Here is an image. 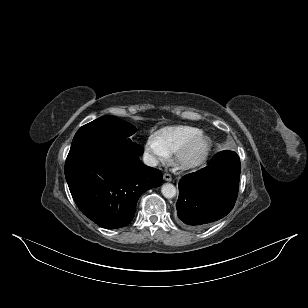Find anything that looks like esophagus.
Instances as JSON below:
<instances>
[{"label": "esophagus", "mask_w": 308, "mask_h": 308, "mask_svg": "<svg viewBox=\"0 0 308 308\" xmlns=\"http://www.w3.org/2000/svg\"><path fill=\"white\" fill-rule=\"evenodd\" d=\"M163 179L169 182V181H172V176L169 173H165L163 174Z\"/></svg>", "instance_id": "1"}]
</instances>
